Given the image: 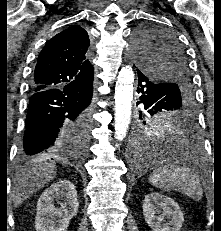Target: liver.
I'll list each match as a JSON object with an SVG mask.
<instances>
[{
  "mask_svg": "<svg viewBox=\"0 0 221 231\" xmlns=\"http://www.w3.org/2000/svg\"><path fill=\"white\" fill-rule=\"evenodd\" d=\"M47 158L35 160L31 167L21 170L14 178L12 201L15 207L21 205L31 194L43 188L56 176L55 164L45 162Z\"/></svg>",
  "mask_w": 221,
  "mask_h": 231,
  "instance_id": "liver-1",
  "label": "liver"
}]
</instances>
